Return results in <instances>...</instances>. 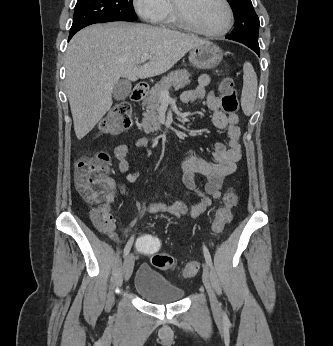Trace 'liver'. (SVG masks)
<instances>
[{
	"instance_id": "6515ba94",
	"label": "liver",
	"mask_w": 333,
	"mask_h": 346,
	"mask_svg": "<svg viewBox=\"0 0 333 346\" xmlns=\"http://www.w3.org/2000/svg\"><path fill=\"white\" fill-rule=\"evenodd\" d=\"M205 43L194 35L144 24H96L79 31L65 54L66 92L77 139L109 111L121 77L137 81L163 74ZM145 54L151 58L138 66Z\"/></svg>"
}]
</instances>
